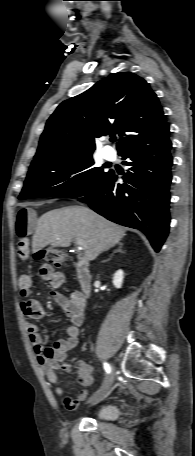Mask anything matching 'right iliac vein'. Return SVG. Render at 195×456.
I'll list each match as a JSON object with an SVG mask.
<instances>
[{"mask_svg": "<svg viewBox=\"0 0 195 456\" xmlns=\"http://www.w3.org/2000/svg\"><path fill=\"white\" fill-rule=\"evenodd\" d=\"M113 380H114V373L111 372V374L105 378L102 387L91 397L89 402H99L103 398H105L110 390Z\"/></svg>", "mask_w": 195, "mask_h": 456, "instance_id": "right-iliac-vein-1", "label": "right iliac vein"}]
</instances>
